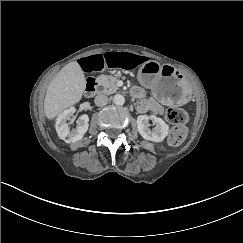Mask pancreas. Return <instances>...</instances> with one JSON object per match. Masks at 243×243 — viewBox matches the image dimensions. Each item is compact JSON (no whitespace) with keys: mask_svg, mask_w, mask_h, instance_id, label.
I'll return each mask as SVG.
<instances>
[{"mask_svg":"<svg viewBox=\"0 0 243 243\" xmlns=\"http://www.w3.org/2000/svg\"><path fill=\"white\" fill-rule=\"evenodd\" d=\"M123 80L127 79L126 75L122 76ZM96 81L99 85H102L105 88V93H115L118 90V86L116 82L118 81V77L111 75H100L96 78Z\"/></svg>","mask_w":243,"mask_h":243,"instance_id":"obj_1","label":"pancreas"}]
</instances>
